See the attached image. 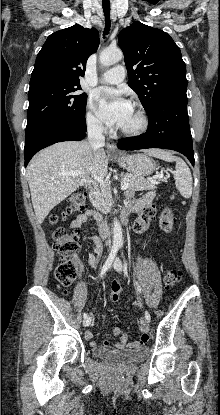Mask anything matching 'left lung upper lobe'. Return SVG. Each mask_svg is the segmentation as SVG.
<instances>
[{
  "instance_id": "left-lung-upper-lobe-1",
  "label": "left lung upper lobe",
  "mask_w": 220,
  "mask_h": 415,
  "mask_svg": "<svg viewBox=\"0 0 220 415\" xmlns=\"http://www.w3.org/2000/svg\"><path fill=\"white\" fill-rule=\"evenodd\" d=\"M118 42L128 85L146 111L162 97L186 93V66L179 47L166 32L136 21L120 32Z\"/></svg>"
}]
</instances>
